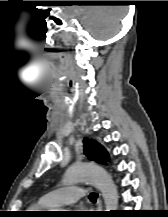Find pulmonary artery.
I'll return each mask as SVG.
<instances>
[{
    "mask_svg": "<svg viewBox=\"0 0 168 217\" xmlns=\"http://www.w3.org/2000/svg\"><path fill=\"white\" fill-rule=\"evenodd\" d=\"M85 196V190L79 186H67L52 190L40 199L49 208H57L77 202Z\"/></svg>",
    "mask_w": 168,
    "mask_h": 217,
    "instance_id": "1",
    "label": "pulmonary artery"
}]
</instances>
